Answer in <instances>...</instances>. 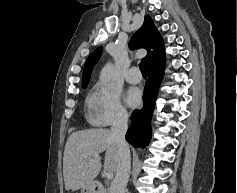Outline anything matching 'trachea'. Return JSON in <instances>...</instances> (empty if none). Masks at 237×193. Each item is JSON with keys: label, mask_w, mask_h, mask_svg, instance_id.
<instances>
[{"label": "trachea", "mask_w": 237, "mask_h": 193, "mask_svg": "<svg viewBox=\"0 0 237 193\" xmlns=\"http://www.w3.org/2000/svg\"><path fill=\"white\" fill-rule=\"evenodd\" d=\"M139 68L142 74H147L146 63L144 61L139 63Z\"/></svg>", "instance_id": "3493384b"}]
</instances>
